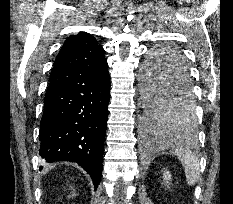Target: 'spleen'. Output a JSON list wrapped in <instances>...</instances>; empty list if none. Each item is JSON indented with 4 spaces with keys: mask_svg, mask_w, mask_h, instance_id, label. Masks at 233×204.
<instances>
[{
    "mask_svg": "<svg viewBox=\"0 0 233 204\" xmlns=\"http://www.w3.org/2000/svg\"><path fill=\"white\" fill-rule=\"evenodd\" d=\"M173 151L184 167L187 184L196 185L200 177V163L196 153L182 144L176 145Z\"/></svg>",
    "mask_w": 233,
    "mask_h": 204,
    "instance_id": "3e777b00",
    "label": "spleen"
}]
</instances>
